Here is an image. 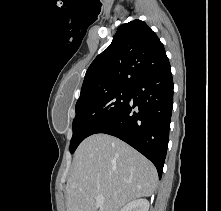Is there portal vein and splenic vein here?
<instances>
[{
    "mask_svg": "<svg viewBox=\"0 0 221 211\" xmlns=\"http://www.w3.org/2000/svg\"><path fill=\"white\" fill-rule=\"evenodd\" d=\"M104 197L103 196H97L96 197V204L98 205V206H101L103 203H104Z\"/></svg>",
    "mask_w": 221,
    "mask_h": 211,
    "instance_id": "portal-vein-and-splenic-vein-1",
    "label": "portal vein and splenic vein"
}]
</instances>
